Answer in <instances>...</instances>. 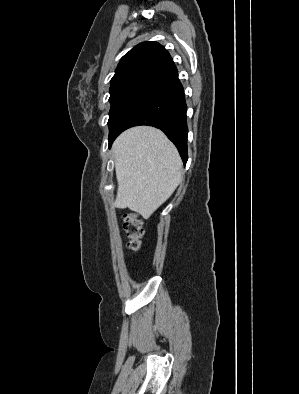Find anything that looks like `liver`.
Returning a JSON list of instances; mask_svg holds the SVG:
<instances>
[{
	"label": "liver",
	"instance_id": "1",
	"mask_svg": "<svg viewBox=\"0 0 299 394\" xmlns=\"http://www.w3.org/2000/svg\"><path fill=\"white\" fill-rule=\"evenodd\" d=\"M112 149L118 182L115 206L148 219L181 182L176 147L159 129L138 126L124 131Z\"/></svg>",
	"mask_w": 299,
	"mask_h": 394
}]
</instances>
